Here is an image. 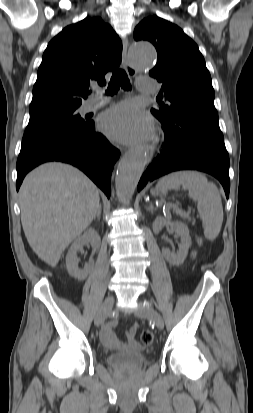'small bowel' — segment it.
<instances>
[{"instance_id":"obj_1","label":"small bowel","mask_w":253,"mask_h":413,"mask_svg":"<svg viewBox=\"0 0 253 413\" xmlns=\"http://www.w3.org/2000/svg\"><path fill=\"white\" fill-rule=\"evenodd\" d=\"M115 324H110L108 326H104L100 330V340L102 343L110 348V349H121L124 347V344L118 339L116 334L113 331V327ZM137 332V325L134 324L130 327V329L126 332V344L131 347H136L137 343L135 340V335Z\"/></svg>"}]
</instances>
